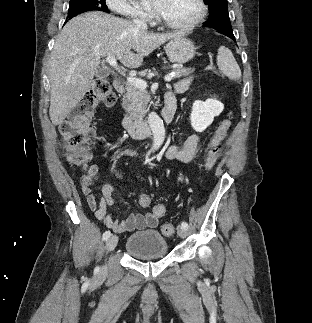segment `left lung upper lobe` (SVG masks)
<instances>
[{
  "label": "left lung upper lobe",
  "instance_id": "left-lung-upper-lobe-1",
  "mask_svg": "<svg viewBox=\"0 0 312 323\" xmlns=\"http://www.w3.org/2000/svg\"><path fill=\"white\" fill-rule=\"evenodd\" d=\"M209 6V18L205 22L206 27L216 31L233 32L228 14L227 0H204Z\"/></svg>",
  "mask_w": 312,
  "mask_h": 323
}]
</instances>
